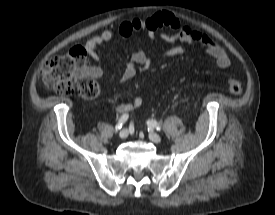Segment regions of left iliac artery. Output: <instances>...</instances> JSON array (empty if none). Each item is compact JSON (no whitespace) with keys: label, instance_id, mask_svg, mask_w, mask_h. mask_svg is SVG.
Listing matches in <instances>:
<instances>
[{"label":"left iliac artery","instance_id":"1","mask_svg":"<svg viewBox=\"0 0 275 215\" xmlns=\"http://www.w3.org/2000/svg\"><path fill=\"white\" fill-rule=\"evenodd\" d=\"M147 125L150 129L155 128L158 131H161L160 125L155 120H149Z\"/></svg>","mask_w":275,"mask_h":215}]
</instances>
